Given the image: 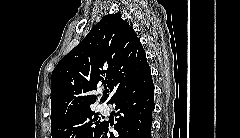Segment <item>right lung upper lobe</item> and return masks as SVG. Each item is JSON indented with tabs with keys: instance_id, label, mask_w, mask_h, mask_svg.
<instances>
[{
	"instance_id": "obj_1",
	"label": "right lung upper lobe",
	"mask_w": 240,
	"mask_h": 138,
	"mask_svg": "<svg viewBox=\"0 0 240 138\" xmlns=\"http://www.w3.org/2000/svg\"><path fill=\"white\" fill-rule=\"evenodd\" d=\"M149 74L146 54L134 29L119 13L104 16L52 72L51 124L89 109L97 100L91 91L98 86L109 87L110 103Z\"/></svg>"
}]
</instances>
